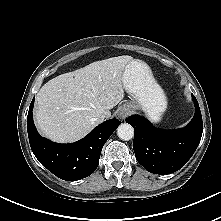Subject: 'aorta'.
<instances>
[{
  "label": "aorta",
  "instance_id": "762f6f07",
  "mask_svg": "<svg viewBox=\"0 0 221 221\" xmlns=\"http://www.w3.org/2000/svg\"><path fill=\"white\" fill-rule=\"evenodd\" d=\"M117 135L122 140H131L134 137V129L130 124L123 123L117 128Z\"/></svg>",
  "mask_w": 221,
  "mask_h": 221
}]
</instances>
